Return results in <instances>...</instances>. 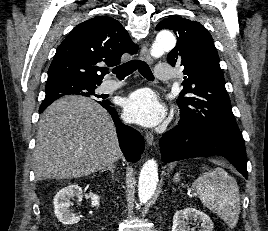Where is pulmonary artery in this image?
Returning a JSON list of instances; mask_svg holds the SVG:
<instances>
[{"mask_svg":"<svg viewBox=\"0 0 268 231\" xmlns=\"http://www.w3.org/2000/svg\"><path fill=\"white\" fill-rule=\"evenodd\" d=\"M153 77L158 81L169 82L173 77V70L169 64L162 63L156 66ZM123 85L122 82L118 81H110L108 83L103 84L102 91L105 93H110Z\"/></svg>","mask_w":268,"mask_h":231,"instance_id":"1","label":"pulmonary artery"}]
</instances>
